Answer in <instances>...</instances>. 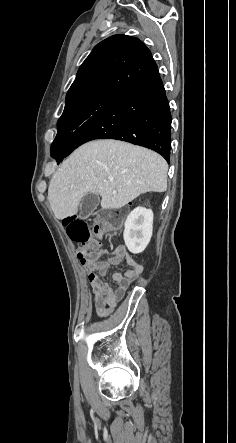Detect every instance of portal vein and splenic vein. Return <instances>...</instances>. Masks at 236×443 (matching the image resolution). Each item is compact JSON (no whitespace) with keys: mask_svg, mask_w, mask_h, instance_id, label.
I'll use <instances>...</instances> for the list:
<instances>
[{"mask_svg":"<svg viewBox=\"0 0 236 443\" xmlns=\"http://www.w3.org/2000/svg\"><path fill=\"white\" fill-rule=\"evenodd\" d=\"M110 181H111V182H113V179H112V178H110Z\"/></svg>","mask_w":236,"mask_h":443,"instance_id":"obj_1","label":"portal vein and splenic vein"}]
</instances>
